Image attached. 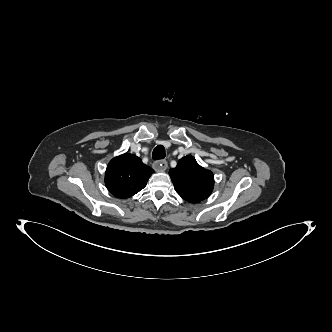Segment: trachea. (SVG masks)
<instances>
[{
    "instance_id": "3493384b",
    "label": "trachea",
    "mask_w": 332,
    "mask_h": 332,
    "mask_svg": "<svg viewBox=\"0 0 332 332\" xmlns=\"http://www.w3.org/2000/svg\"><path fill=\"white\" fill-rule=\"evenodd\" d=\"M152 158L154 160L164 159L165 158V148L162 145L155 147L152 153Z\"/></svg>"
}]
</instances>
